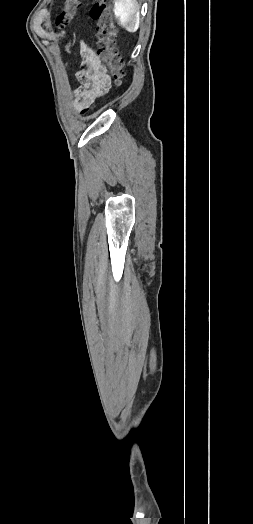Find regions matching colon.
Segmentation results:
<instances>
[{"instance_id": "colon-1", "label": "colon", "mask_w": 253, "mask_h": 524, "mask_svg": "<svg viewBox=\"0 0 253 524\" xmlns=\"http://www.w3.org/2000/svg\"><path fill=\"white\" fill-rule=\"evenodd\" d=\"M56 19L59 28L68 26L74 19L80 0H63ZM91 16L97 22L98 53L102 58L107 75L116 86L125 78L124 61L116 45L117 30L111 13V1L100 0L91 9Z\"/></svg>"}]
</instances>
